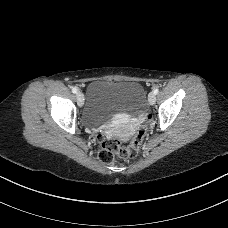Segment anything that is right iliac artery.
<instances>
[{"label": "right iliac artery", "mask_w": 228, "mask_h": 228, "mask_svg": "<svg viewBox=\"0 0 228 228\" xmlns=\"http://www.w3.org/2000/svg\"><path fill=\"white\" fill-rule=\"evenodd\" d=\"M72 92H73V93H77V92H78V89H77L76 87H73V88H72Z\"/></svg>", "instance_id": "1"}]
</instances>
